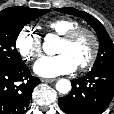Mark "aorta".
I'll use <instances>...</instances> for the list:
<instances>
[{"label": "aorta", "instance_id": "obj_1", "mask_svg": "<svg viewBox=\"0 0 114 114\" xmlns=\"http://www.w3.org/2000/svg\"><path fill=\"white\" fill-rule=\"evenodd\" d=\"M55 38H56V36H53V35L46 36L45 41L43 43V50L47 54H51L52 51H54V42L56 40ZM56 89L58 92H60L62 94H66L71 90V83L67 79H60L56 83Z\"/></svg>", "mask_w": 114, "mask_h": 114}]
</instances>
